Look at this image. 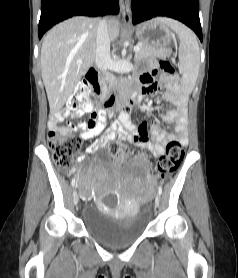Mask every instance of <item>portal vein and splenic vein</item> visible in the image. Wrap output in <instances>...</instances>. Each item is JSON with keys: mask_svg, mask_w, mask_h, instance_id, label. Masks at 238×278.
I'll list each match as a JSON object with an SVG mask.
<instances>
[{"mask_svg": "<svg viewBox=\"0 0 238 278\" xmlns=\"http://www.w3.org/2000/svg\"><path fill=\"white\" fill-rule=\"evenodd\" d=\"M139 50H140L139 45H136V46L134 47V51H135V52H138ZM78 62H81V60H80V61H78Z\"/></svg>", "mask_w": 238, "mask_h": 278, "instance_id": "obj_1", "label": "portal vein and splenic vein"}]
</instances>
